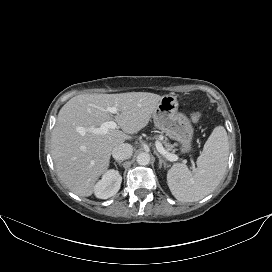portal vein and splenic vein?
Instances as JSON below:
<instances>
[{
  "instance_id": "portal-vein-and-splenic-vein-1",
  "label": "portal vein and splenic vein",
  "mask_w": 272,
  "mask_h": 272,
  "mask_svg": "<svg viewBox=\"0 0 272 272\" xmlns=\"http://www.w3.org/2000/svg\"><path fill=\"white\" fill-rule=\"evenodd\" d=\"M107 111L113 114L118 113V109L116 107H108ZM116 128H118L116 122L108 121L103 123L99 128L94 129L93 132L99 133V134H105L108 132L109 129H116ZM155 145H156L157 151L160 154H162L164 157H166L168 160L177 161L178 159L177 155L169 153L167 150H165L161 142L157 141Z\"/></svg>"
}]
</instances>
